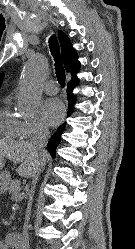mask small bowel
<instances>
[{"instance_id":"c3829d8e","label":"small bowel","mask_w":135,"mask_h":249,"mask_svg":"<svg viewBox=\"0 0 135 249\" xmlns=\"http://www.w3.org/2000/svg\"><path fill=\"white\" fill-rule=\"evenodd\" d=\"M0 249H6L5 246L0 242Z\"/></svg>"}]
</instances>
